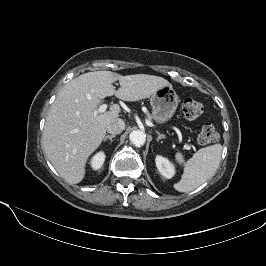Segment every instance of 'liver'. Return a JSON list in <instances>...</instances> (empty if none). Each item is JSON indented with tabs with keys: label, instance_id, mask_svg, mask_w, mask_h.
<instances>
[{
	"label": "liver",
	"instance_id": "6515ba94",
	"mask_svg": "<svg viewBox=\"0 0 266 266\" xmlns=\"http://www.w3.org/2000/svg\"><path fill=\"white\" fill-rule=\"evenodd\" d=\"M117 80L121 87L116 91L112 83ZM165 86L171 84L159 76H122L111 71L88 72L71 80L46 117L43 148L47 158L68 183L81 182L89 156L105 138L107 123L120 113L118 105L96 113L101 100L115 95L124 101H138Z\"/></svg>",
	"mask_w": 266,
	"mask_h": 266
}]
</instances>
